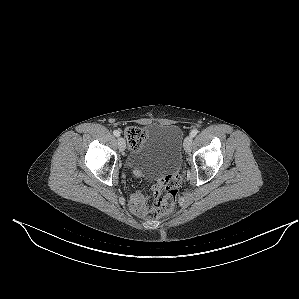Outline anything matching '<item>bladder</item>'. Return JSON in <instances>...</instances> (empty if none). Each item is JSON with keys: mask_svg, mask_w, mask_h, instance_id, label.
Wrapping results in <instances>:
<instances>
[{"mask_svg": "<svg viewBox=\"0 0 299 299\" xmlns=\"http://www.w3.org/2000/svg\"><path fill=\"white\" fill-rule=\"evenodd\" d=\"M183 134L174 124L152 123L147 136L130 156V164L143 175L158 177L181 166Z\"/></svg>", "mask_w": 299, "mask_h": 299, "instance_id": "bladder-1", "label": "bladder"}]
</instances>
